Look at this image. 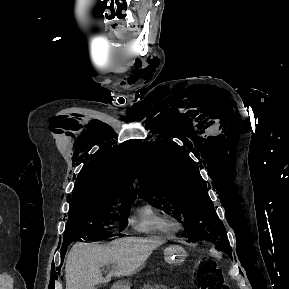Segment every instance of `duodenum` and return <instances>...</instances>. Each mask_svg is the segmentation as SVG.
I'll use <instances>...</instances> for the list:
<instances>
[{
  "mask_svg": "<svg viewBox=\"0 0 289 289\" xmlns=\"http://www.w3.org/2000/svg\"><path fill=\"white\" fill-rule=\"evenodd\" d=\"M113 289H122L120 285L115 286Z\"/></svg>",
  "mask_w": 289,
  "mask_h": 289,
  "instance_id": "duodenum-1",
  "label": "duodenum"
}]
</instances>
